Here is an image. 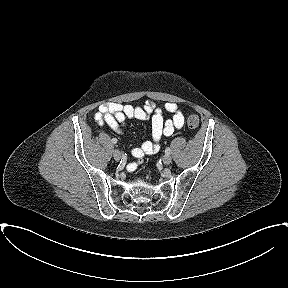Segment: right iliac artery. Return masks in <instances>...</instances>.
<instances>
[{"instance_id":"right-iliac-artery-1","label":"right iliac artery","mask_w":288,"mask_h":288,"mask_svg":"<svg viewBox=\"0 0 288 288\" xmlns=\"http://www.w3.org/2000/svg\"><path fill=\"white\" fill-rule=\"evenodd\" d=\"M112 143H113V144H116V143H117V139H116V138H113V139H112Z\"/></svg>"}]
</instances>
